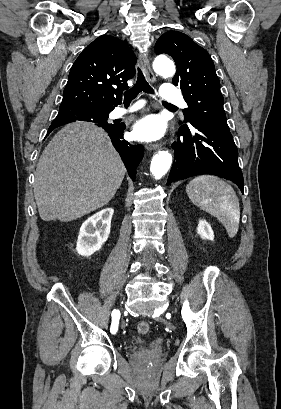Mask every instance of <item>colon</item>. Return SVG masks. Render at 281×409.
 Listing matches in <instances>:
<instances>
[{
	"instance_id": "1",
	"label": "colon",
	"mask_w": 281,
	"mask_h": 409,
	"mask_svg": "<svg viewBox=\"0 0 281 409\" xmlns=\"http://www.w3.org/2000/svg\"><path fill=\"white\" fill-rule=\"evenodd\" d=\"M150 331V324L146 321H142L137 325V332L141 335H146Z\"/></svg>"
}]
</instances>
